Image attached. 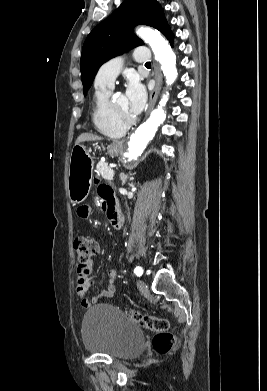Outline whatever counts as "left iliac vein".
<instances>
[{"label":"left iliac vein","mask_w":267,"mask_h":391,"mask_svg":"<svg viewBox=\"0 0 267 391\" xmlns=\"http://www.w3.org/2000/svg\"><path fill=\"white\" fill-rule=\"evenodd\" d=\"M137 286L141 293H145L147 291V285L143 280H138Z\"/></svg>","instance_id":"1"}]
</instances>
